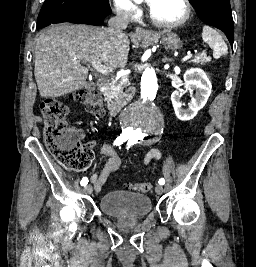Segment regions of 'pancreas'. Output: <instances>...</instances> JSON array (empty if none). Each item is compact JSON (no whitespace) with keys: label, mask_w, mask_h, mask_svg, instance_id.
<instances>
[{"label":"pancreas","mask_w":256,"mask_h":267,"mask_svg":"<svg viewBox=\"0 0 256 267\" xmlns=\"http://www.w3.org/2000/svg\"><path fill=\"white\" fill-rule=\"evenodd\" d=\"M193 62L194 64H201V66H205V64L211 62V58L210 56H206V54H198ZM134 94L135 88L129 86L127 76H122L119 80H112L108 96L105 98L104 102H107V106H109V108L111 104H115V106L122 108V106H126L127 102L131 100L130 96H134Z\"/></svg>","instance_id":"pancreas-1"}]
</instances>
